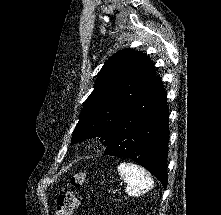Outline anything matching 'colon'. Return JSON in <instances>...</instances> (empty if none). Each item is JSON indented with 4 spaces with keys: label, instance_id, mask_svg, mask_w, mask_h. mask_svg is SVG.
<instances>
[{
    "label": "colon",
    "instance_id": "5ec220e1",
    "mask_svg": "<svg viewBox=\"0 0 221 215\" xmlns=\"http://www.w3.org/2000/svg\"><path fill=\"white\" fill-rule=\"evenodd\" d=\"M86 178L84 171H77L70 177V184L73 187L81 186ZM78 206V199L73 191H65L57 198L54 215H73L74 210Z\"/></svg>",
    "mask_w": 221,
    "mask_h": 215
}]
</instances>
